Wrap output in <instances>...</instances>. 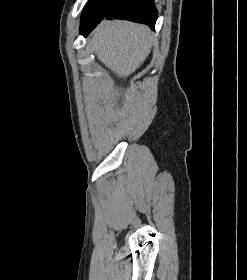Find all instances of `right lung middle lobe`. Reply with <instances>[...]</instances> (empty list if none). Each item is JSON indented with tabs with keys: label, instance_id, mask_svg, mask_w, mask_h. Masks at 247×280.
I'll return each instance as SVG.
<instances>
[{
	"label": "right lung middle lobe",
	"instance_id": "right-lung-middle-lobe-1",
	"mask_svg": "<svg viewBox=\"0 0 247 280\" xmlns=\"http://www.w3.org/2000/svg\"><path fill=\"white\" fill-rule=\"evenodd\" d=\"M112 0H88L81 17V25L97 20L108 8Z\"/></svg>",
	"mask_w": 247,
	"mask_h": 280
}]
</instances>
